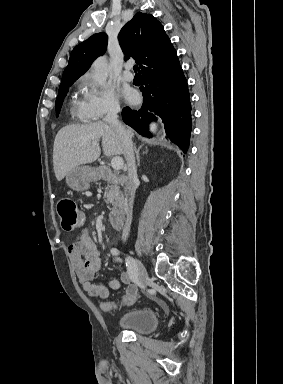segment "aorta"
Masks as SVG:
<instances>
[{"instance_id":"1","label":"aorta","mask_w":283,"mask_h":384,"mask_svg":"<svg viewBox=\"0 0 283 384\" xmlns=\"http://www.w3.org/2000/svg\"><path fill=\"white\" fill-rule=\"evenodd\" d=\"M92 67H93V77L95 81L99 85L104 86L108 76V65H107L106 58L105 57L97 58L93 62ZM156 128H157L156 124L151 125L152 131L156 130Z\"/></svg>"}]
</instances>
